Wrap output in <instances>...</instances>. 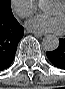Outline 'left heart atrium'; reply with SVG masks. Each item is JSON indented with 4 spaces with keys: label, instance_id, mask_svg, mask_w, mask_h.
<instances>
[{
    "label": "left heart atrium",
    "instance_id": "39dd6f15",
    "mask_svg": "<svg viewBox=\"0 0 65 89\" xmlns=\"http://www.w3.org/2000/svg\"><path fill=\"white\" fill-rule=\"evenodd\" d=\"M29 26L41 32L61 33L64 30V21L55 15H39L30 20Z\"/></svg>",
    "mask_w": 65,
    "mask_h": 89
}]
</instances>
